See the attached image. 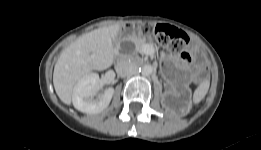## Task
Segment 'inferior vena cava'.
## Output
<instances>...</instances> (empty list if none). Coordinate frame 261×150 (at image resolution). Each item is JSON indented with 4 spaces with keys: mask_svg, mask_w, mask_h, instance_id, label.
Segmentation results:
<instances>
[{
    "mask_svg": "<svg viewBox=\"0 0 261 150\" xmlns=\"http://www.w3.org/2000/svg\"><path fill=\"white\" fill-rule=\"evenodd\" d=\"M115 70L119 76L127 77L137 71V66L127 61H120L116 64Z\"/></svg>",
    "mask_w": 261,
    "mask_h": 150,
    "instance_id": "602c4592",
    "label": "inferior vena cava"
}]
</instances>
